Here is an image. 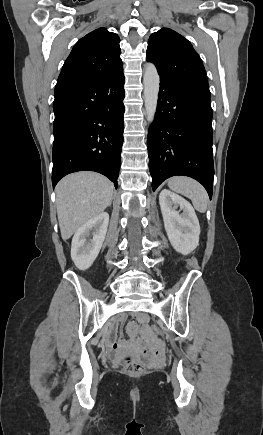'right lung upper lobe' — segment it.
Masks as SVG:
<instances>
[{
	"mask_svg": "<svg viewBox=\"0 0 263 435\" xmlns=\"http://www.w3.org/2000/svg\"><path fill=\"white\" fill-rule=\"evenodd\" d=\"M119 42V36L105 28L80 39L62 67L55 92L100 81L123 70Z\"/></svg>",
	"mask_w": 263,
	"mask_h": 435,
	"instance_id": "cb5924a9",
	"label": "right lung upper lobe"
}]
</instances>
